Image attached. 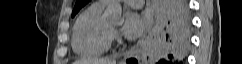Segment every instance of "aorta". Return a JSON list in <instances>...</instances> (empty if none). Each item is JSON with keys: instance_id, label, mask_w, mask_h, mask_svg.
Instances as JSON below:
<instances>
[{"instance_id": "1", "label": "aorta", "mask_w": 242, "mask_h": 64, "mask_svg": "<svg viewBox=\"0 0 242 64\" xmlns=\"http://www.w3.org/2000/svg\"><path fill=\"white\" fill-rule=\"evenodd\" d=\"M122 6L118 1L113 2L110 4L106 10L107 18L114 22V23H121L122 22Z\"/></svg>"}]
</instances>
